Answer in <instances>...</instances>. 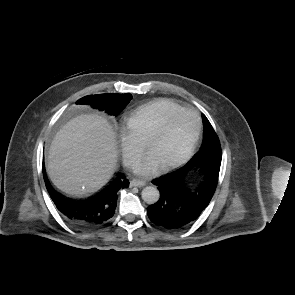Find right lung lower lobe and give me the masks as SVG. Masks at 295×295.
Here are the masks:
<instances>
[{
  "label": "right lung lower lobe",
  "instance_id": "98d812e1",
  "mask_svg": "<svg viewBox=\"0 0 295 295\" xmlns=\"http://www.w3.org/2000/svg\"><path fill=\"white\" fill-rule=\"evenodd\" d=\"M44 181L51 199L64 218L77 228L89 229L105 223L114 215L117 192L127 188L129 181L123 174L118 176L100 193L81 201L62 197L50 185L45 169H43Z\"/></svg>",
  "mask_w": 295,
  "mask_h": 295
}]
</instances>
